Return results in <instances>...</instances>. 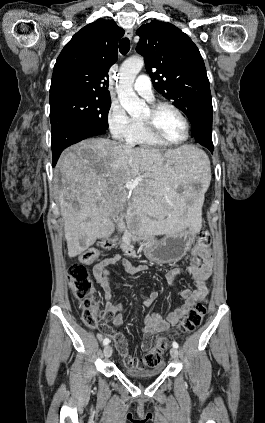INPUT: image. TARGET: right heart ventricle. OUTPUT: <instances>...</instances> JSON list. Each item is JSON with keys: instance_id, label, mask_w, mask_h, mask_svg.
<instances>
[{"instance_id": "right-heart-ventricle-1", "label": "right heart ventricle", "mask_w": 265, "mask_h": 423, "mask_svg": "<svg viewBox=\"0 0 265 423\" xmlns=\"http://www.w3.org/2000/svg\"><path fill=\"white\" fill-rule=\"evenodd\" d=\"M127 143L141 148H161L166 146V144L151 136L140 120H133Z\"/></svg>"}]
</instances>
